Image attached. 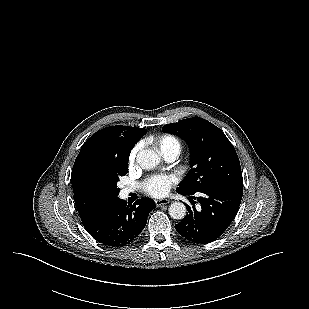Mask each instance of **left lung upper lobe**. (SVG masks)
Masks as SVG:
<instances>
[{"label": "left lung upper lobe", "mask_w": 309, "mask_h": 309, "mask_svg": "<svg viewBox=\"0 0 309 309\" xmlns=\"http://www.w3.org/2000/svg\"><path fill=\"white\" fill-rule=\"evenodd\" d=\"M189 145L191 169L178 185V193L195 194L225 186L243 187L236 151L215 125L199 117L180 120L162 127Z\"/></svg>", "instance_id": "left-lung-upper-lobe-1"}]
</instances>
